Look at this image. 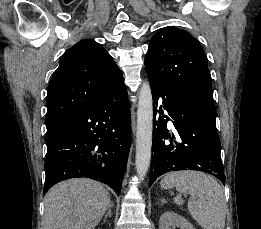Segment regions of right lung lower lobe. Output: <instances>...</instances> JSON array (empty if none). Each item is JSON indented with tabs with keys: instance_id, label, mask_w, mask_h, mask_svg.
I'll use <instances>...</instances> for the list:
<instances>
[{
	"instance_id": "obj_1",
	"label": "right lung lower lobe",
	"mask_w": 261,
	"mask_h": 229,
	"mask_svg": "<svg viewBox=\"0 0 261 229\" xmlns=\"http://www.w3.org/2000/svg\"><path fill=\"white\" fill-rule=\"evenodd\" d=\"M43 194L56 183L86 177L120 194L131 146V115L124 81L103 98L47 131Z\"/></svg>"
}]
</instances>
